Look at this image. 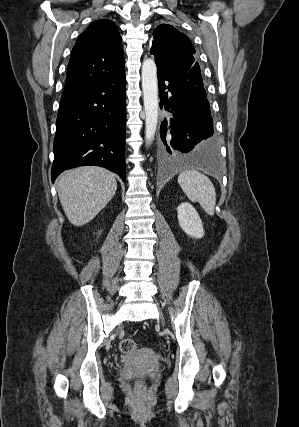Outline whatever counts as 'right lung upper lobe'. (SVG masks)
Returning <instances> with one entry per match:
<instances>
[{"label": "right lung upper lobe", "instance_id": "right-lung-upper-lobe-1", "mask_svg": "<svg viewBox=\"0 0 299 427\" xmlns=\"http://www.w3.org/2000/svg\"><path fill=\"white\" fill-rule=\"evenodd\" d=\"M124 70L121 37L114 22L100 19L79 35L67 69L64 92L113 78Z\"/></svg>", "mask_w": 299, "mask_h": 427}]
</instances>
